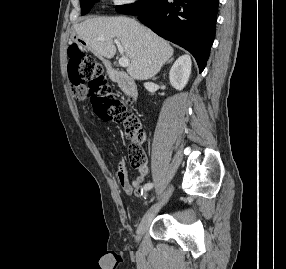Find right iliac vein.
Listing matches in <instances>:
<instances>
[{"mask_svg":"<svg viewBox=\"0 0 286 269\" xmlns=\"http://www.w3.org/2000/svg\"><path fill=\"white\" fill-rule=\"evenodd\" d=\"M171 188L169 190V192H171ZM163 203V202H162ZM155 204L153 206H151L147 212L144 214L138 228H137V232H136V241L139 242L141 239V236L144 234V232L147 230L148 226L150 225L152 219L154 218V216L156 215V213L159 211L161 204Z\"/></svg>","mask_w":286,"mask_h":269,"instance_id":"obj_1","label":"right iliac vein"}]
</instances>
